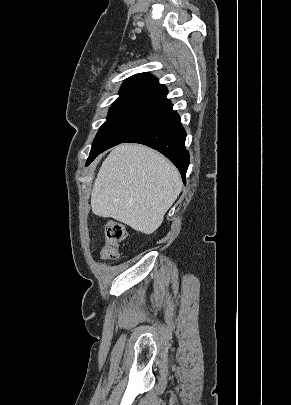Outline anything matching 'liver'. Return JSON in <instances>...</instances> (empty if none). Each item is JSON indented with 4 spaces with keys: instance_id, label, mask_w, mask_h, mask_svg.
Wrapping results in <instances>:
<instances>
[{
    "instance_id": "6515ba94",
    "label": "liver",
    "mask_w": 291,
    "mask_h": 405,
    "mask_svg": "<svg viewBox=\"0 0 291 405\" xmlns=\"http://www.w3.org/2000/svg\"><path fill=\"white\" fill-rule=\"evenodd\" d=\"M182 190L176 167L140 144L116 146L102 163L91 196L95 215L144 234L155 232Z\"/></svg>"
}]
</instances>
